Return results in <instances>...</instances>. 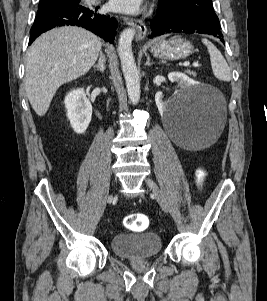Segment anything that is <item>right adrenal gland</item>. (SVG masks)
<instances>
[{"mask_svg": "<svg viewBox=\"0 0 267 301\" xmlns=\"http://www.w3.org/2000/svg\"><path fill=\"white\" fill-rule=\"evenodd\" d=\"M105 63H106V59L104 54L100 51L99 53V59H98V63L94 65V68H96L98 71H100L101 73L104 72L105 70Z\"/></svg>", "mask_w": 267, "mask_h": 301, "instance_id": "obj_1", "label": "right adrenal gland"}]
</instances>
